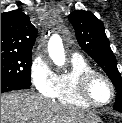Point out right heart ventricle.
<instances>
[{
	"label": "right heart ventricle",
	"instance_id": "e07e8e85",
	"mask_svg": "<svg viewBox=\"0 0 122 123\" xmlns=\"http://www.w3.org/2000/svg\"><path fill=\"white\" fill-rule=\"evenodd\" d=\"M91 70H94V68L86 59L80 55L73 56L70 70L57 75L56 88L52 98L63 105L71 107H90L77 96L76 87L80 76Z\"/></svg>",
	"mask_w": 122,
	"mask_h": 123
}]
</instances>
